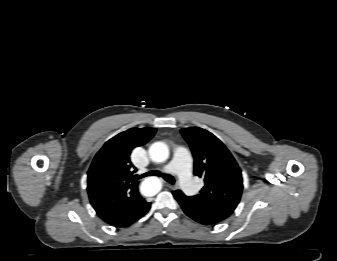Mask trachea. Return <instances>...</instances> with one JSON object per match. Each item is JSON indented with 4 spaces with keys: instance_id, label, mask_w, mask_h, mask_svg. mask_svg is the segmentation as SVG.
<instances>
[{
    "instance_id": "3493384b",
    "label": "trachea",
    "mask_w": 337,
    "mask_h": 261,
    "mask_svg": "<svg viewBox=\"0 0 337 261\" xmlns=\"http://www.w3.org/2000/svg\"><path fill=\"white\" fill-rule=\"evenodd\" d=\"M151 175L162 176L170 184L175 183V180L171 175H163V174H161L157 171H151V172H147V173L142 174V175H136L135 179H140V178H144V177L151 176Z\"/></svg>"
}]
</instances>
